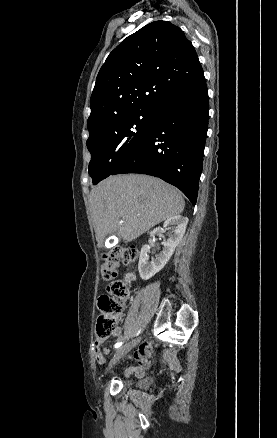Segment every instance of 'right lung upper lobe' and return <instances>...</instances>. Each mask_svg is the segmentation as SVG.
I'll use <instances>...</instances> for the list:
<instances>
[{
	"label": "right lung upper lobe",
	"mask_w": 277,
	"mask_h": 438,
	"mask_svg": "<svg viewBox=\"0 0 277 438\" xmlns=\"http://www.w3.org/2000/svg\"><path fill=\"white\" fill-rule=\"evenodd\" d=\"M202 75L184 32L167 21L152 22L119 44L101 67L90 98L88 128L115 116L156 109L165 96Z\"/></svg>",
	"instance_id": "1"
}]
</instances>
